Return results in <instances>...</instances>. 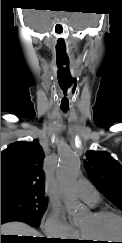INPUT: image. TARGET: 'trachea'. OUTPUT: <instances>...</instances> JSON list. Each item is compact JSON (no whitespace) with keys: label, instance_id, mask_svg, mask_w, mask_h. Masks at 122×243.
Here are the masks:
<instances>
[{"label":"trachea","instance_id":"trachea-1","mask_svg":"<svg viewBox=\"0 0 122 243\" xmlns=\"http://www.w3.org/2000/svg\"><path fill=\"white\" fill-rule=\"evenodd\" d=\"M62 110H63L64 112H67L68 108H62Z\"/></svg>","mask_w":122,"mask_h":243}]
</instances>
